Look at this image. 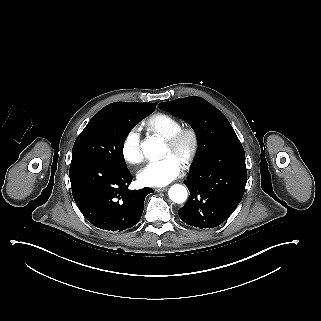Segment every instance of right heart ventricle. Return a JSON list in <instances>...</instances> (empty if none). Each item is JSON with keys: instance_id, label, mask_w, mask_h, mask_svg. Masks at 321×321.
Segmentation results:
<instances>
[{"instance_id": "e07e8e85", "label": "right heart ventricle", "mask_w": 321, "mask_h": 321, "mask_svg": "<svg viewBox=\"0 0 321 321\" xmlns=\"http://www.w3.org/2000/svg\"><path fill=\"white\" fill-rule=\"evenodd\" d=\"M147 125L151 132L163 138L173 135L182 128L183 123L172 115L155 113L148 118Z\"/></svg>"}]
</instances>
